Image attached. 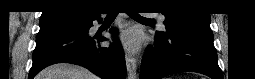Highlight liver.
Returning a JSON list of instances; mask_svg holds the SVG:
<instances>
[{"instance_id": "liver-1", "label": "liver", "mask_w": 255, "mask_h": 79, "mask_svg": "<svg viewBox=\"0 0 255 79\" xmlns=\"http://www.w3.org/2000/svg\"><path fill=\"white\" fill-rule=\"evenodd\" d=\"M36 79H99L98 76L91 73L84 67L59 63L51 65L42 70Z\"/></svg>"}]
</instances>
